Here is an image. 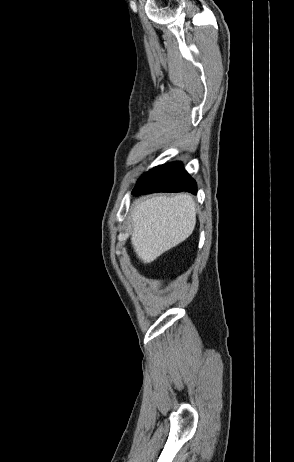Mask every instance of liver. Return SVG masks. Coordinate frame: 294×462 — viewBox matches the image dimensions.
<instances>
[{
    "instance_id": "liver-1",
    "label": "liver",
    "mask_w": 294,
    "mask_h": 462,
    "mask_svg": "<svg viewBox=\"0 0 294 462\" xmlns=\"http://www.w3.org/2000/svg\"><path fill=\"white\" fill-rule=\"evenodd\" d=\"M196 224V205L191 195L155 196L133 211L131 243L143 263H150L186 240Z\"/></svg>"
}]
</instances>
